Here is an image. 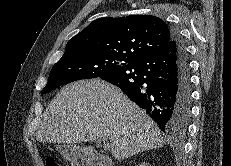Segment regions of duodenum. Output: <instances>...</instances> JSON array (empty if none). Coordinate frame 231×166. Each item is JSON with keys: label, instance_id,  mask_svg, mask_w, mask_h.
Segmentation results:
<instances>
[{"label": "duodenum", "instance_id": "1", "mask_svg": "<svg viewBox=\"0 0 231 166\" xmlns=\"http://www.w3.org/2000/svg\"><path fill=\"white\" fill-rule=\"evenodd\" d=\"M81 158L89 166H111L108 159L104 155L94 150H87L83 152L81 154Z\"/></svg>", "mask_w": 231, "mask_h": 166}]
</instances>
